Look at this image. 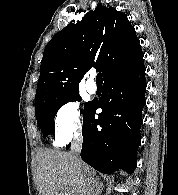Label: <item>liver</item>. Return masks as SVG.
I'll return each instance as SVG.
<instances>
[{
	"mask_svg": "<svg viewBox=\"0 0 178 195\" xmlns=\"http://www.w3.org/2000/svg\"><path fill=\"white\" fill-rule=\"evenodd\" d=\"M96 171L79 166L73 153L40 149L37 153L39 195H93Z\"/></svg>",
	"mask_w": 178,
	"mask_h": 195,
	"instance_id": "1",
	"label": "liver"
}]
</instances>
